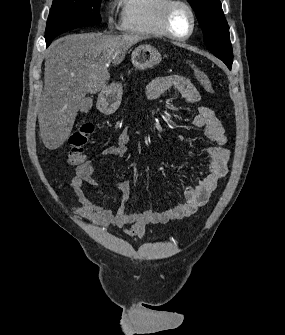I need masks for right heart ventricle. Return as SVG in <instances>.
Wrapping results in <instances>:
<instances>
[{
	"instance_id": "obj_1",
	"label": "right heart ventricle",
	"mask_w": 285,
	"mask_h": 335,
	"mask_svg": "<svg viewBox=\"0 0 285 335\" xmlns=\"http://www.w3.org/2000/svg\"><path fill=\"white\" fill-rule=\"evenodd\" d=\"M170 1H132L134 15L129 25L142 39L169 38L163 24V12Z\"/></svg>"
}]
</instances>
